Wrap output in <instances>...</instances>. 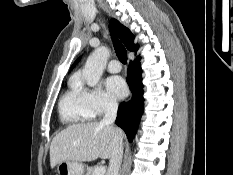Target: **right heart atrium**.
<instances>
[{
  "label": "right heart atrium",
  "instance_id": "obj_1",
  "mask_svg": "<svg viewBox=\"0 0 233 175\" xmlns=\"http://www.w3.org/2000/svg\"><path fill=\"white\" fill-rule=\"evenodd\" d=\"M85 97L94 116H101L117 109L118 103L114 96L101 87L83 88Z\"/></svg>",
  "mask_w": 233,
  "mask_h": 175
}]
</instances>
